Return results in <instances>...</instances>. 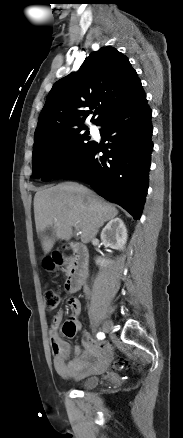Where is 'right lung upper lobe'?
Here are the masks:
<instances>
[{
  "label": "right lung upper lobe",
  "instance_id": "cb5924a9",
  "mask_svg": "<svg viewBox=\"0 0 183 438\" xmlns=\"http://www.w3.org/2000/svg\"><path fill=\"white\" fill-rule=\"evenodd\" d=\"M145 92L128 58L113 47L92 52L77 73L57 81L39 115L35 140L84 127L90 111L96 109L97 126L113 111L138 99ZM34 140V141H35Z\"/></svg>",
  "mask_w": 183,
  "mask_h": 438
}]
</instances>
